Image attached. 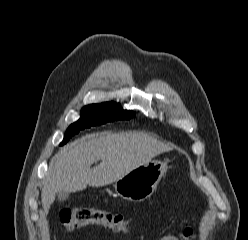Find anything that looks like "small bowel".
<instances>
[{
  "label": "small bowel",
  "instance_id": "obj_1",
  "mask_svg": "<svg viewBox=\"0 0 248 240\" xmlns=\"http://www.w3.org/2000/svg\"><path fill=\"white\" fill-rule=\"evenodd\" d=\"M193 236V231L190 228H186L179 232L177 235H169L162 237L160 240H185L191 239Z\"/></svg>",
  "mask_w": 248,
  "mask_h": 240
}]
</instances>
